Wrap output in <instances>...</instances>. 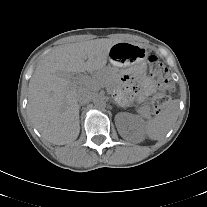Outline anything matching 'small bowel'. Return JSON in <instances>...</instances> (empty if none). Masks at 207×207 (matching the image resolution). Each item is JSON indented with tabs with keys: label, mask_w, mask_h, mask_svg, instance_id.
<instances>
[{
	"label": "small bowel",
	"mask_w": 207,
	"mask_h": 207,
	"mask_svg": "<svg viewBox=\"0 0 207 207\" xmlns=\"http://www.w3.org/2000/svg\"><path fill=\"white\" fill-rule=\"evenodd\" d=\"M155 90V84L152 80H150L149 78L140 77V89L138 91V95L140 97H144L146 95L151 94L152 92H154ZM131 91H133L132 88H128L126 89L123 93L122 96L123 97H127L131 94Z\"/></svg>",
	"instance_id": "obj_1"
}]
</instances>
